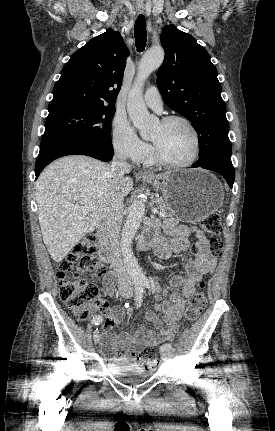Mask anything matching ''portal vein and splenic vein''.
<instances>
[{"mask_svg":"<svg viewBox=\"0 0 275 431\" xmlns=\"http://www.w3.org/2000/svg\"><path fill=\"white\" fill-rule=\"evenodd\" d=\"M77 209L81 210L84 214H87L90 212V208L89 207H76ZM152 213L153 214H157L158 210L156 208L152 209Z\"/></svg>","mask_w":275,"mask_h":431,"instance_id":"obj_1","label":"portal vein and splenic vein"}]
</instances>
